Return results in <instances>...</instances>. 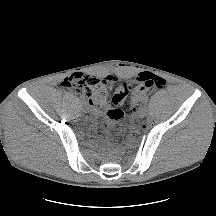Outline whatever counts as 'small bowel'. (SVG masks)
Masks as SVG:
<instances>
[{
    "instance_id": "c3829d8e",
    "label": "small bowel",
    "mask_w": 216,
    "mask_h": 216,
    "mask_svg": "<svg viewBox=\"0 0 216 216\" xmlns=\"http://www.w3.org/2000/svg\"><path fill=\"white\" fill-rule=\"evenodd\" d=\"M83 76V74H81V73H75V74H73V76H71L72 78H80V77H82ZM141 76V75H140ZM139 76V77H140ZM68 79V78H67ZM66 79V80H67ZM109 81H111V82H114L115 80H117L115 77H113V76H108V78H107Z\"/></svg>"
}]
</instances>
